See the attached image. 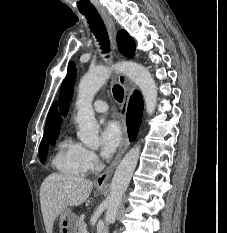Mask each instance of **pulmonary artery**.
Returning <instances> with one entry per match:
<instances>
[{
	"mask_svg": "<svg viewBox=\"0 0 227 233\" xmlns=\"http://www.w3.org/2000/svg\"><path fill=\"white\" fill-rule=\"evenodd\" d=\"M93 109L96 113L103 114L108 111V105L104 100H96L93 104Z\"/></svg>",
	"mask_w": 227,
	"mask_h": 233,
	"instance_id": "obj_1",
	"label": "pulmonary artery"
}]
</instances>
